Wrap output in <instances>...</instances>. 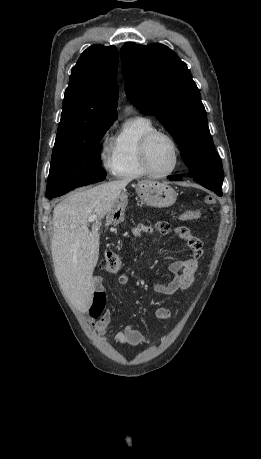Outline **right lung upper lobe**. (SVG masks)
<instances>
[{
	"label": "right lung upper lobe",
	"instance_id": "cb5924a9",
	"mask_svg": "<svg viewBox=\"0 0 261 459\" xmlns=\"http://www.w3.org/2000/svg\"><path fill=\"white\" fill-rule=\"evenodd\" d=\"M117 67L115 46L93 45L82 53L71 71L56 139L113 123L117 117Z\"/></svg>",
	"mask_w": 261,
	"mask_h": 459
}]
</instances>
